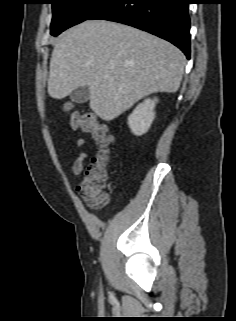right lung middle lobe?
<instances>
[{
    "label": "right lung middle lobe",
    "mask_w": 236,
    "mask_h": 321,
    "mask_svg": "<svg viewBox=\"0 0 236 321\" xmlns=\"http://www.w3.org/2000/svg\"><path fill=\"white\" fill-rule=\"evenodd\" d=\"M110 0H51L53 19L51 35L57 36L67 28L87 20Z\"/></svg>",
    "instance_id": "1"
}]
</instances>
